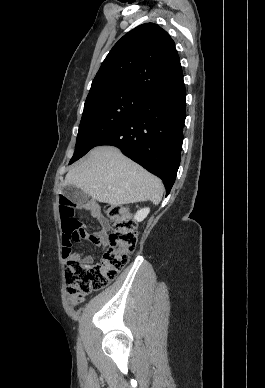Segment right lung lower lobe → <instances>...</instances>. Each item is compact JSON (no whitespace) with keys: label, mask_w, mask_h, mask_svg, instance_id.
I'll return each instance as SVG.
<instances>
[{"label":"right lung lower lobe","mask_w":265,"mask_h":388,"mask_svg":"<svg viewBox=\"0 0 265 388\" xmlns=\"http://www.w3.org/2000/svg\"><path fill=\"white\" fill-rule=\"evenodd\" d=\"M185 99L183 79L149 93L136 111L96 146L118 147L123 154L161 178L168 195L180 164Z\"/></svg>","instance_id":"1"}]
</instances>
